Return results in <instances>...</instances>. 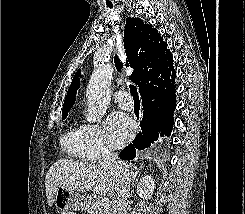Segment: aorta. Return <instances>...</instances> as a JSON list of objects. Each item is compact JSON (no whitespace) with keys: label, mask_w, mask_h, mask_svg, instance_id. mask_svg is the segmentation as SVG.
<instances>
[{"label":"aorta","mask_w":245,"mask_h":214,"mask_svg":"<svg viewBox=\"0 0 245 214\" xmlns=\"http://www.w3.org/2000/svg\"><path fill=\"white\" fill-rule=\"evenodd\" d=\"M112 74V65L103 64L90 77L86 93L88 102L85 113V118L89 123H96L101 120L107 111Z\"/></svg>","instance_id":"1"}]
</instances>
